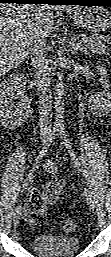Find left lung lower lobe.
I'll return each mask as SVG.
<instances>
[{"label": "left lung lower lobe", "mask_w": 111, "mask_h": 257, "mask_svg": "<svg viewBox=\"0 0 111 257\" xmlns=\"http://www.w3.org/2000/svg\"><path fill=\"white\" fill-rule=\"evenodd\" d=\"M75 5L81 6H94L95 4H101L102 6H111V0H71Z\"/></svg>", "instance_id": "0a47b994"}]
</instances>
